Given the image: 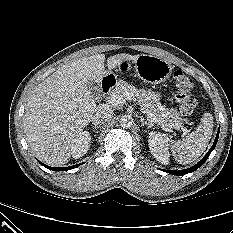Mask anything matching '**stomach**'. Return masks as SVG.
Returning <instances> with one entry per match:
<instances>
[{"label":"stomach","mask_w":233,"mask_h":233,"mask_svg":"<svg viewBox=\"0 0 233 233\" xmlns=\"http://www.w3.org/2000/svg\"><path fill=\"white\" fill-rule=\"evenodd\" d=\"M127 62H122V65H127ZM134 63L139 78L151 85L165 82L170 77L173 69L167 60L147 54L138 55Z\"/></svg>","instance_id":"stomach-1"}]
</instances>
